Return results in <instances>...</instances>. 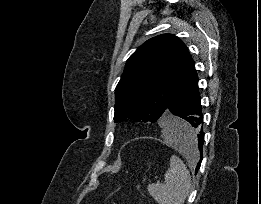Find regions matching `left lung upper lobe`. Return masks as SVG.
I'll return each mask as SVG.
<instances>
[{"label":"left lung upper lobe","mask_w":261,"mask_h":204,"mask_svg":"<svg viewBox=\"0 0 261 204\" xmlns=\"http://www.w3.org/2000/svg\"><path fill=\"white\" fill-rule=\"evenodd\" d=\"M186 45L172 34L142 44L127 60L115 89L114 121L156 122L192 64Z\"/></svg>","instance_id":"left-lung-upper-lobe-1"}]
</instances>
